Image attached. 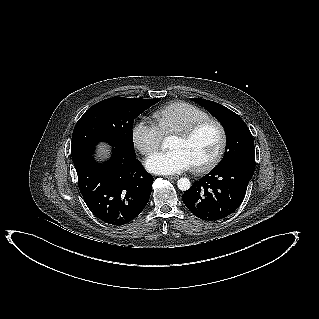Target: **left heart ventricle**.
Segmentation results:
<instances>
[{
    "instance_id": "obj_1",
    "label": "left heart ventricle",
    "mask_w": 319,
    "mask_h": 319,
    "mask_svg": "<svg viewBox=\"0 0 319 319\" xmlns=\"http://www.w3.org/2000/svg\"><path fill=\"white\" fill-rule=\"evenodd\" d=\"M219 144L217 129L208 125L200 129L192 138L183 140L173 136L168 148L179 149L189 158L191 165L202 164L210 160L215 154Z\"/></svg>"
}]
</instances>
